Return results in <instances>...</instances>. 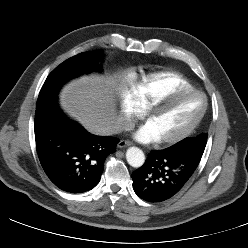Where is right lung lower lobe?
Segmentation results:
<instances>
[{"instance_id": "right-lung-lower-lobe-1", "label": "right lung lower lobe", "mask_w": 248, "mask_h": 248, "mask_svg": "<svg viewBox=\"0 0 248 248\" xmlns=\"http://www.w3.org/2000/svg\"><path fill=\"white\" fill-rule=\"evenodd\" d=\"M34 131L45 173L70 193L89 191L99 183L104 161L120 141L90 134L68 119L58 107L57 95L38 97Z\"/></svg>"}]
</instances>
